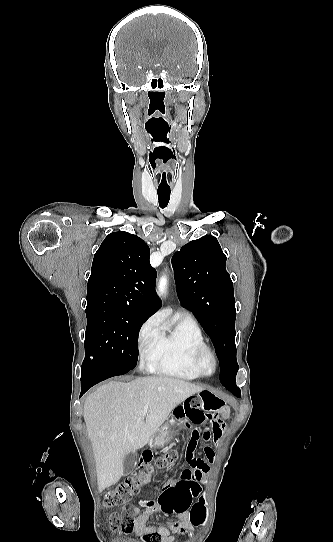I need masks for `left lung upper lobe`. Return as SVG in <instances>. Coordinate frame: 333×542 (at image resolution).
Instances as JSON below:
<instances>
[{
  "label": "left lung upper lobe",
  "mask_w": 333,
  "mask_h": 542,
  "mask_svg": "<svg viewBox=\"0 0 333 542\" xmlns=\"http://www.w3.org/2000/svg\"><path fill=\"white\" fill-rule=\"evenodd\" d=\"M226 256L213 236L184 245L172 257L178 298L211 338L220 363V380L235 379V299Z\"/></svg>",
  "instance_id": "1"
}]
</instances>
